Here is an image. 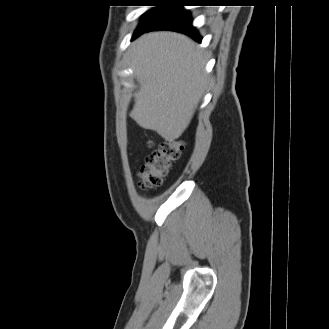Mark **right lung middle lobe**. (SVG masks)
Here are the masks:
<instances>
[{"instance_id":"obj_1","label":"right lung middle lobe","mask_w":329,"mask_h":329,"mask_svg":"<svg viewBox=\"0 0 329 329\" xmlns=\"http://www.w3.org/2000/svg\"><path fill=\"white\" fill-rule=\"evenodd\" d=\"M148 1H161V0H148ZM164 1H169V0H164ZM148 3H151V2H148ZM157 5H163V6L155 7L153 9H151L150 11L146 12L145 14H143V20L138 28H142V27L152 24L167 9L166 8L167 6L165 4H157Z\"/></svg>"}]
</instances>
